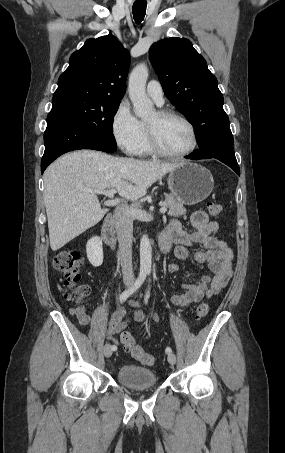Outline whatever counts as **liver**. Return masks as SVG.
Listing matches in <instances>:
<instances>
[{
  "instance_id": "obj_1",
  "label": "liver",
  "mask_w": 285,
  "mask_h": 453,
  "mask_svg": "<svg viewBox=\"0 0 285 453\" xmlns=\"http://www.w3.org/2000/svg\"><path fill=\"white\" fill-rule=\"evenodd\" d=\"M179 164L115 157L93 150L67 153L44 173V204L53 251L102 220V209L94 190L116 189L119 196L137 200L147 189Z\"/></svg>"
}]
</instances>
